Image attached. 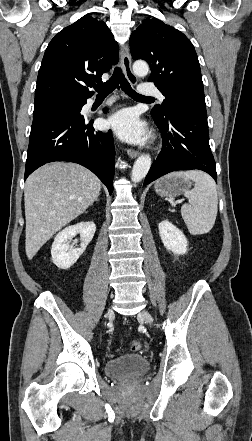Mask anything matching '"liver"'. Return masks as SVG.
<instances>
[{
    "mask_svg": "<svg viewBox=\"0 0 252 441\" xmlns=\"http://www.w3.org/2000/svg\"><path fill=\"white\" fill-rule=\"evenodd\" d=\"M100 190V180L76 163L53 162L34 171L24 190L28 259L92 205Z\"/></svg>",
    "mask_w": 252,
    "mask_h": 441,
    "instance_id": "obj_1",
    "label": "liver"
}]
</instances>
